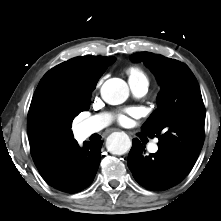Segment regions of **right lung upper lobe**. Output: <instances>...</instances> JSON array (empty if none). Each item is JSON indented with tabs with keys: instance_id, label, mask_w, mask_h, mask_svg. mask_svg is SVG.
Returning <instances> with one entry per match:
<instances>
[{
	"instance_id": "cb5924a9",
	"label": "right lung upper lobe",
	"mask_w": 221,
	"mask_h": 221,
	"mask_svg": "<svg viewBox=\"0 0 221 221\" xmlns=\"http://www.w3.org/2000/svg\"><path fill=\"white\" fill-rule=\"evenodd\" d=\"M114 61L115 57H75L43 76L27 118L31 154L37 169L76 141L72 121L81 111H86L98 79Z\"/></svg>"
}]
</instances>
